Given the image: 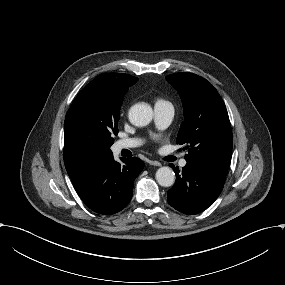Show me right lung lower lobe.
Returning a JSON list of instances; mask_svg holds the SVG:
<instances>
[{"instance_id": "right-lung-lower-lobe-1", "label": "right lung lower lobe", "mask_w": 285, "mask_h": 285, "mask_svg": "<svg viewBox=\"0 0 285 285\" xmlns=\"http://www.w3.org/2000/svg\"><path fill=\"white\" fill-rule=\"evenodd\" d=\"M124 165L112 158L87 176L76 192L94 212L111 215L125 208L132 198L133 183L144 163L139 158H121Z\"/></svg>"}]
</instances>
